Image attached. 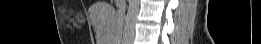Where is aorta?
Masks as SVG:
<instances>
[{
	"label": "aorta",
	"instance_id": "762f6f07",
	"mask_svg": "<svg viewBox=\"0 0 261 44\" xmlns=\"http://www.w3.org/2000/svg\"><path fill=\"white\" fill-rule=\"evenodd\" d=\"M140 0H129V7L125 18L123 43L130 44L134 38L136 17L139 11Z\"/></svg>",
	"mask_w": 261,
	"mask_h": 44
}]
</instances>
